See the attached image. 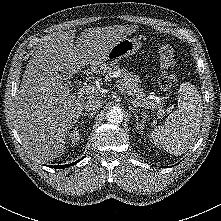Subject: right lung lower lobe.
Segmentation results:
<instances>
[{"instance_id": "obj_1", "label": "right lung lower lobe", "mask_w": 221, "mask_h": 221, "mask_svg": "<svg viewBox=\"0 0 221 221\" xmlns=\"http://www.w3.org/2000/svg\"><path fill=\"white\" fill-rule=\"evenodd\" d=\"M80 160H77L76 162H73L71 164H65V165H60V166H51V165H48L49 167H53V168H56V169H64V168H67V167H70V166H73L74 164L78 163Z\"/></svg>"}]
</instances>
